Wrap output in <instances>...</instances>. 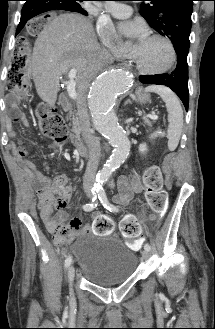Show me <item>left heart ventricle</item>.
I'll return each instance as SVG.
<instances>
[{"mask_svg": "<svg viewBox=\"0 0 215 329\" xmlns=\"http://www.w3.org/2000/svg\"><path fill=\"white\" fill-rule=\"evenodd\" d=\"M137 61L146 69L158 70L168 65L171 52L165 42L149 38L143 45L132 48Z\"/></svg>", "mask_w": 215, "mask_h": 329, "instance_id": "1", "label": "left heart ventricle"}]
</instances>
